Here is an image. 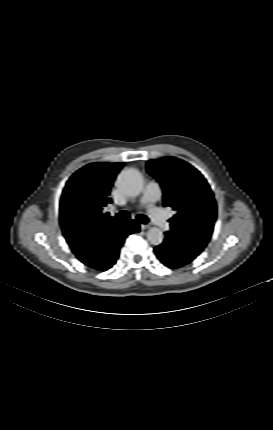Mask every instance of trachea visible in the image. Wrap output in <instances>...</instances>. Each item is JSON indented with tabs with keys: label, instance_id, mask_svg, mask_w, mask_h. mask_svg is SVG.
<instances>
[{
	"label": "trachea",
	"instance_id": "trachea-1",
	"mask_svg": "<svg viewBox=\"0 0 273 430\" xmlns=\"http://www.w3.org/2000/svg\"><path fill=\"white\" fill-rule=\"evenodd\" d=\"M129 218H130V215H129V213L128 212H126V211H121V212H119L118 214H116V216L113 218L115 221H117V222H120V223H124V222H126L127 220H129ZM136 220L139 222V223H142V224H146L149 220H148V218H147V216H145V215H143V214H139V215H137L136 216Z\"/></svg>",
	"mask_w": 273,
	"mask_h": 430
}]
</instances>
